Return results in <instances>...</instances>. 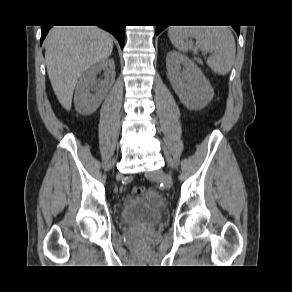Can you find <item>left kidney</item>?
I'll list each match as a JSON object with an SVG mask.
<instances>
[{
	"label": "left kidney",
	"instance_id": "5707ae66",
	"mask_svg": "<svg viewBox=\"0 0 292 292\" xmlns=\"http://www.w3.org/2000/svg\"><path fill=\"white\" fill-rule=\"evenodd\" d=\"M166 67L172 88L187 108L203 109L213 99L214 90L194 61L181 53L170 51Z\"/></svg>",
	"mask_w": 292,
	"mask_h": 292
}]
</instances>
